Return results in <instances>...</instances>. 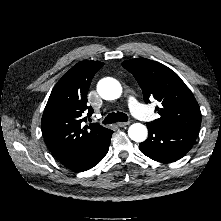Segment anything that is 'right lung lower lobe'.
Returning a JSON list of instances; mask_svg holds the SVG:
<instances>
[{
	"mask_svg": "<svg viewBox=\"0 0 221 221\" xmlns=\"http://www.w3.org/2000/svg\"><path fill=\"white\" fill-rule=\"evenodd\" d=\"M112 133L113 131L110 130L106 138L101 141L97 146L82 154L75 160L64 164V166L78 172L86 171L94 167L106 155L110 145Z\"/></svg>",
	"mask_w": 221,
	"mask_h": 221,
	"instance_id": "obj_1",
	"label": "right lung lower lobe"
}]
</instances>
